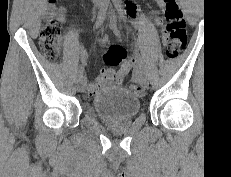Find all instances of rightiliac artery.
Here are the masks:
<instances>
[{
	"mask_svg": "<svg viewBox=\"0 0 231 177\" xmlns=\"http://www.w3.org/2000/svg\"><path fill=\"white\" fill-rule=\"evenodd\" d=\"M108 6H109L108 1H104L101 4L100 10L98 12L97 20H96V23H95L96 28L100 27L103 24V22L105 20V17H106L107 10H108ZM83 73H84V67L80 66L79 69H78L79 78L83 76Z\"/></svg>",
	"mask_w": 231,
	"mask_h": 177,
	"instance_id": "82829eb1",
	"label": "right iliac artery"
}]
</instances>
